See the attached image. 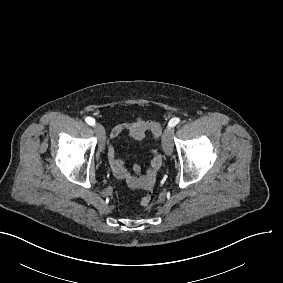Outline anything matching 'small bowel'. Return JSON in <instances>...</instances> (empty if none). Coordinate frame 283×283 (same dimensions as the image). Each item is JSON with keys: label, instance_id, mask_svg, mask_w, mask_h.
<instances>
[{"label": "small bowel", "instance_id": "obj_1", "mask_svg": "<svg viewBox=\"0 0 283 283\" xmlns=\"http://www.w3.org/2000/svg\"><path fill=\"white\" fill-rule=\"evenodd\" d=\"M124 133L136 141L143 140L148 133H150L155 140H159L162 134V129L157 122L145 121L138 118L114 126L109 133V137L111 139H116ZM107 156L113 175L121 180L123 184H126L128 189H138L144 185V181L148 179L154 180L157 171L162 166L161 152L158 148H155L152 150L151 166L146 175L143 178L130 180V174L125 167L124 162L117 156L113 145L108 146ZM132 172L134 174H139L141 172V167L139 165H134L132 167Z\"/></svg>", "mask_w": 283, "mask_h": 283}]
</instances>
